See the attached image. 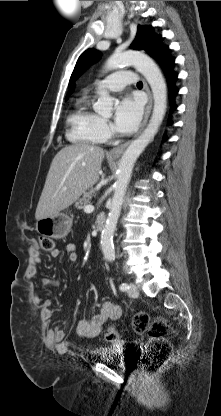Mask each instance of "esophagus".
Returning a JSON list of instances; mask_svg holds the SVG:
<instances>
[{"label": "esophagus", "instance_id": "esophagus-1", "mask_svg": "<svg viewBox=\"0 0 221 416\" xmlns=\"http://www.w3.org/2000/svg\"><path fill=\"white\" fill-rule=\"evenodd\" d=\"M143 85H144V89H145V91L147 93V96H148V102H147V105H146V108H145V114H144L142 124L140 126V130L135 135V137L137 135H139L141 133V131L144 129V127H145V125L148 121V118L150 116L151 109H152V104H153L152 94H151V92L149 90V87H148L147 83L145 82V80H143ZM130 142L131 141L129 140V141L117 146V147H114L113 149H111L109 151L108 156L114 157V158L120 157L122 155V153L124 152V150L126 149V147L130 144Z\"/></svg>", "mask_w": 221, "mask_h": 416}]
</instances>
